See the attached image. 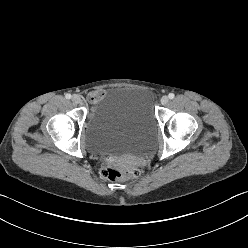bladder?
I'll return each mask as SVG.
<instances>
[{
	"mask_svg": "<svg viewBox=\"0 0 248 248\" xmlns=\"http://www.w3.org/2000/svg\"><path fill=\"white\" fill-rule=\"evenodd\" d=\"M155 126L148 92L139 88H114L90 114L88 145L102 155L140 156L151 150Z\"/></svg>",
	"mask_w": 248,
	"mask_h": 248,
	"instance_id": "1",
	"label": "bladder"
}]
</instances>
